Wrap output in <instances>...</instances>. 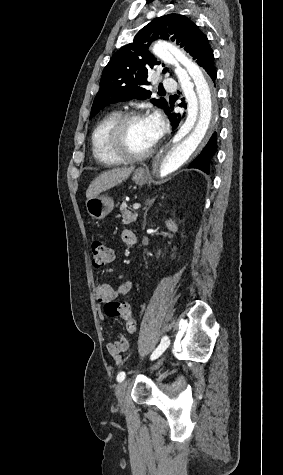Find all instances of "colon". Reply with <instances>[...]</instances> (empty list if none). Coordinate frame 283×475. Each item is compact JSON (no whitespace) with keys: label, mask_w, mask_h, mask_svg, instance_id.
Instances as JSON below:
<instances>
[{"label":"colon","mask_w":283,"mask_h":475,"mask_svg":"<svg viewBox=\"0 0 283 475\" xmlns=\"http://www.w3.org/2000/svg\"><path fill=\"white\" fill-rule=\"evenodd\" d=\"M111 256V250L103 242L96 241L92 244V261L95 267L105 266L110 261ZM102 310L104 314L120 316L129 334L134 335L137 332L136 320L130 313L131 308L128 303L123 302L104 305Z\"/></svg>","instance_id":"1"}]
</instances>
